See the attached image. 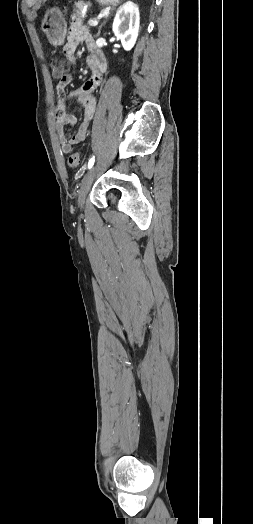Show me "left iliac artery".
Listing matches in <instances>:
<instances>
[{
    "label": "left iliac artery",
    "mask_w": 253,
    "mask_h": 524,
    "mask_svg": "<svg viewBox=\"0 0 253 524\" xmlns=\"http://www.w3.org/2000/svg\"><path fill=\"white\" fill-rule=\"evenodd\" d=\"M94 162H95V159H94V157H93V158H91V159L89 160V162H88V169L92 168V166L94 165Z\"/></svg>",
    "instance_id": "1"
}]
</instances>
